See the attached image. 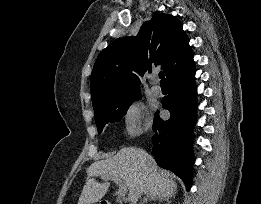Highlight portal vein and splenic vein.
<instances>
[{"label": "portal vein and splenic vein", "mask_w": 261, "mask_h": 204, "mask_svg": "<svg viewBox=\"0 0 261 204\" xmlns=\"http://www.w3.org/2000/svg\"><path fill=\"white\" fill-rule=\"evenodd\" d=\"M110 179H113L115 181V183L118 185V187H119L118 192H117L118 195L120 197H124L127 193V186L125 185V183L117 177L110 178Z\"/></svg>", "instance_id": "portal-vein-and-splenic-vein-1"}]
</instances>
